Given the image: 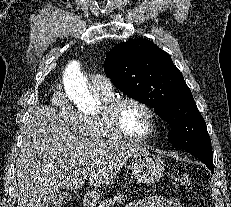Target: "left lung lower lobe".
Instances as JSON below:
<instances>
[{
  "label": "left lung lower lobe",
  "mask_w": 231,
  "mask_h": 207,
  "mask_svg": "<svg viewBox=\"0 0 231 207\" xmlns=\"http://www.w3.org/2000/svg\"><path fill=\"white\" fill-rule=\"evenodd\" d=\"M194 156H196L198 159H200L212 172H214L213 167V156H205L198 153H191Z\"/></svg>",
  "instance_id": "left-lung-lower-lobe-1"
}]
</instances>
